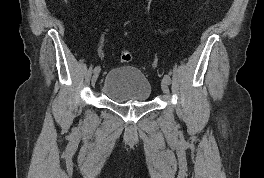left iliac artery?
Listing matches in <instances>:
<instances>
[{
  "label": "left iliac artery",
  "mask_w": 264,
  "mask_h": 178,
  "mask_svg": "<svg viewBox=\"0 0 264 178\" xmlns=\"http://www.w3.org/2000/svg\"><path fill=\"white\" fill-rule=\"evenodd\" d=\"M164 79H165L168 83L171 82V77H170L168 74H166V75L164 76Z\"/></svg>",
  "instance_id": "left-iliac-artery-1"
}]
</instances>
